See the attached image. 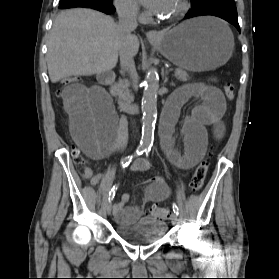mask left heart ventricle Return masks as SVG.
I'll return each mask as SVG.
<instances>
[{"mask_svg":"<svg viewBox=\"0 0 279 279\" xmlns=\"http://www.w3.org/2000/svg\"><path fill=\"white\" fill-rule=\"evenodd\" d=\"M180 5V0H166L164 7L158 13L162 17H169L175 13Z\"/></svg>","mask_w":279,"mask_h":279,"instance_id":"1","label":"left heart ventricle"}]
</instances>
